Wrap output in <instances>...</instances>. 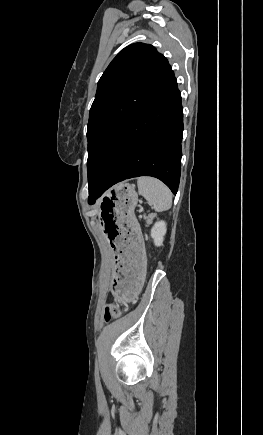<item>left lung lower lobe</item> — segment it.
Returning a JSON list of instances; mask_svg holds the SVG:
<instances>
[{"mask_svg": "<svg viewBox=\"0 0 263 435\" xmlns=\"http://www.w3.org/2000/svg\"><path fill=\"white\" fill-rule=\"evenodd\" d=\"M183 110L176 78L163 87L122 133L94 181L89 204L112 185L153 176L176 194L181 173Z\"/></svg>", "mask_w": 263, "mask_h": 435, "instance_id": "obj_1", "label": "left lung lower lobe"}]
</instances>
